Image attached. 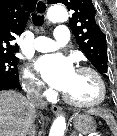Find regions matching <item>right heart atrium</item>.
<instances>
[{
	"label": "right heart atrium",
	"mask_w": 117,
	"mask_h": 136,
	"mask_svg": "<svg viewBox=\"0 0 117 136\" xmlns=\"http://www.w3.org/2000/svg\"><path fill=\"white\" fill-rule=\"evenodd\" d=\"M23 88L29 96H51V91L45 88L44 83L30 69H26L23 74Z\"/></svg>",
	"instance_id": "obj_1"
}]
</instances>
